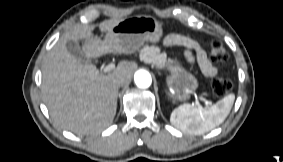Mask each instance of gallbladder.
<instances>
[{
    "instance_id": "obj_1",
    "label": "gallbladder",
    "mask_w": 283,
    "mask_h": 162,
    "mask_svg": "<svg viewBox=\"0 0 283 162\" xmlns=\"http://www.w3.org/2000/svg\"><path fill=\"white\" fill-rule=\"evenodd\" d=\"M66 48L71 55L80 61H89L83 54V51L79 43L75 40H68L66 43Z\"/></svg>"
}]
</instances>
